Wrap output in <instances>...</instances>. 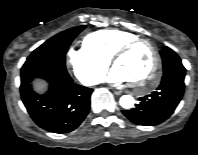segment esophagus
I'll return each instance as SVG.
<instances>
[{
    "label": "esophagus",
    "mask_w": 198,
    "mask_h": 155,
    "mask_svg": "<svg viewBox=\"0 0 198 155\" xmlns=\"http://www.w3.org/2000/svg\"><path fill=\"white\" fill-rule=\"evenodd\" d=\"M114 94L115 95H121L122 94V91H114Z\"/></svg>",
    "instance_id": "obj_1"
}]
</instances>
